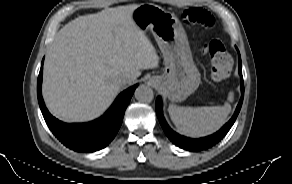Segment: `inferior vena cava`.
Masks as SVG:
<instances>
[{"label":"inferior vena cava","instance_id":"obj_1","mask_svg":"<svg viewBox=\"0 0 292 184\" xmlns=\"http://www.w3.org/2000/svg\"><path fill=\"white\" fill-rule=\"evenodd\" d=\"M129 82H130V79H128L125 76H121L117 80V83H118L119 86H124V85L128 84Z\"/></svg>","mask_w":292,"mask_h":184}]
</instances>
